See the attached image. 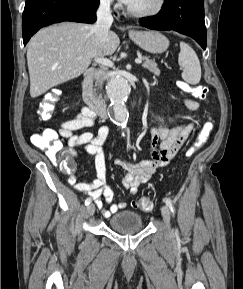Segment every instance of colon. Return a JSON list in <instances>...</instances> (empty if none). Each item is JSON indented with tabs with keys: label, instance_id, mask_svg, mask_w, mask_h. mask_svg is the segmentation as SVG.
<instances>
[{
	"label": "colon",
	"instance_id": "1",
	"mask_svg": "<svg viewBox=\"0 0 243 289\" xmlns=\"http://www.w3.org/2000/svg\"><path fill=\"white\" fill-rule=\"evenodd\" d=\"M181 88L201 100H205L208 95V88L203 85L192 87L186 83H182ZM59 97L60 92L57 90H53L44 96L38 109V115L41 120H48L51 118ZM212 129L213 124L211 121H207L203 124L195 142L187 151L188 157L192 156L206 143ZM31 142L34 146L44 150L49 159L54 164L59 165L63 172L70 174L75 171L76 164L73 155L68 150L63 149V145L54 130L43 129L39 133L33 134L31 136ZM133 205L146 212L151 211L154 207L153 201L149 198H141L138 201L133 202Z\"/></svg>",
	"mask_w": 243,
	"mask_h": 289
}]
</instances>
